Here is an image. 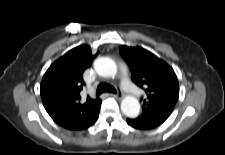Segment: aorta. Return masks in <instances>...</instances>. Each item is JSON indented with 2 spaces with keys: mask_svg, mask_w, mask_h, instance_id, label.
I'll return each instance as SVG.
<instances>
[{
  "mask_svg": "<svg viewBox=\"0 0 225 155\" xmlns=\"http://www.w3.org/2000/svg\"><path fill=\"white\" fill-rule=\"evenodd\" d=\"M96 73L103 77H114L117 73V66L114 60L109 57L97 58L94 62ZM121 111L130 118H135L140 113V103L133 96H126L121 102Z\"/></svg>",
  "mask_w": 225,
  "mask_h": 155,
  "instance_id": "762f6f07",
  "label": "aorta"
}]
</instances>
